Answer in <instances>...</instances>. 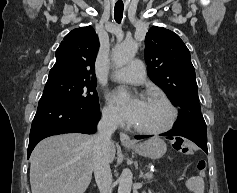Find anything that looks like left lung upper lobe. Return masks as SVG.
<instances>
[{
	"instance_id": "obj_1",
	"label": "left lung upper lobe",
	"mask_w": 237,
	"mask_h": 193,
	"mask_svg": "<svg viewBox=\"0 0 237 193\" xmlns=\"http://www.w3.org/2000/svg\"><path fill=\"white\" fill-rule=\"evenodd\" d=\"M145 60L150 79L179 108L174 128L207 132L198 102L195 70L180 37L162 27L150 28L145 37Z\"/></svg>"
}]
</instances>
